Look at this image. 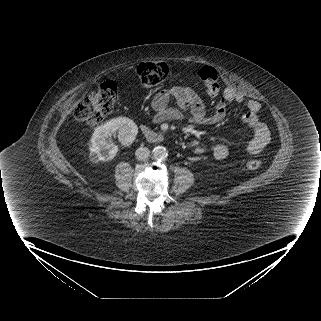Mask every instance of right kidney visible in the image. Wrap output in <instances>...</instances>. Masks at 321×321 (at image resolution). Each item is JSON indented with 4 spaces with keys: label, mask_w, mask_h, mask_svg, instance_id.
<instances>
[{
    "label": "right kidney",
    "mask_w": 321,
    "mask_h": 321,
    "mask_svg": "<svg viewBox=\"0 0 321 321\" xmlns=\"http://www.w3.org/2000/svg\"><path fill=\"white\" fill-rule=\"evenodd\" d=\"M137 133V125L127 117L113 118L98 126L91 137L89 146L92 159L94 161H108L115 157L118 146L107 140L109 136L118 134L119 141L128 146L135 140Z\"/></svg>",
    "instance_id": "ca27d5eb"
}]
</instances>
